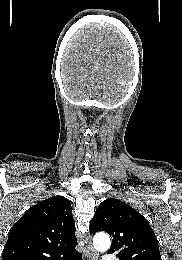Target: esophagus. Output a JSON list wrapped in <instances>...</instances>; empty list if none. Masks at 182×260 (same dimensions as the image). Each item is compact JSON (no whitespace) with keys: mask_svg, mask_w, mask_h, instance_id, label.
Instances as JSON below:
<instances>
[{"mask_svg":"<svg viewBox=\"0 0 182 260\" xmlns=\"http://www.w3.org/2000/svg\"><path fill=\"white\" fill-rule=\"evenodd\" d=\"M86 244H87V250L85 253V257L87 260H95L97 259V253L96 251L93 249V247L91 246V236L88 235L86 237Z\"/></svg>","mask_w":182,"mask_h":260,"instance_id":"obj_1","label":"esophagus"}]
</instances>
